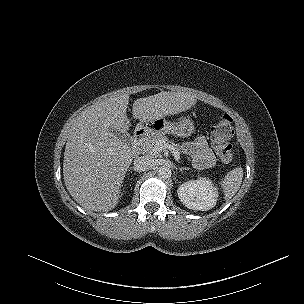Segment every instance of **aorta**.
I'll return each mask as SVG.
<instances>
[{
	"mask_svg": "<svg viewBox=\"0 0 304 304\" xmlns=\"http://www.w3.org/2000/svg\"><path fill=\"white\" fill-rule=\"evenodd\" d=\"M171 174H172L171 169H169L168 167L162 166L158 169V176L162 180L169 179L171 177Z\"/></svg>",
	"mask_w": 304,
	"mask_h": 304,
	"instance_id": "obj_1",
	"label": "aorta"
}]
</instances>
